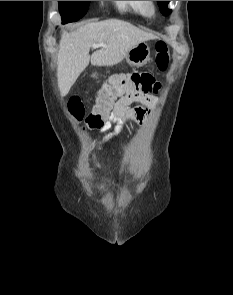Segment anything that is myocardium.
I'll return each instance as SVG.
<instances>
[{"label":"myocardium","mask_w":233,"mask_h":295,"mask_svg":"<svg viewBox=\"0 0 233 295\" xmlns=\"http://www.w3.org/2000/svg\"><path fill=\"white\" fill-rule=\"evenodd\" d=\"M142 10L145 16H153L156 12V5L154 1H142Z\"/></svg>","instance_id":"1"}]
</instances>
